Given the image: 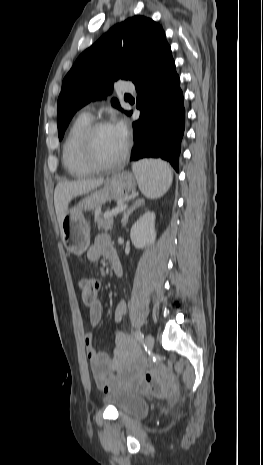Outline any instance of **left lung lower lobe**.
<instances>
[{
	"instance_id": "obj_1",
	"label": "left lung lower lobe",
	"mask_w": 263,
	"mask_h": 465,
	"mask_svg": "<svg viewBox=\"0 0 263 465\" xmlns=\"http://www.w3.org/2000/svg\"><path fill=\"white\" fill-rule=\"evenodd\" d=\"M132 82L141 113L133 123L135 146L131 160L160 157L178 171L185 109L170 46L163 45Z\"/></svg>"
}]
</instances>
